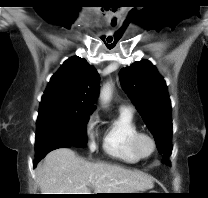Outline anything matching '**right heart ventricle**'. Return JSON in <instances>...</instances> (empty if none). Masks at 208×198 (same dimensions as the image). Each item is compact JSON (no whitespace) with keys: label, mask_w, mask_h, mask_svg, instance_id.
<instances>
[{"label":"right heart ventricle","mask_w":208,"mask_h":198,"mask_svg":"<svg viewBox=\"0 0 208 198\" xmlns=\"http://www.w3.org/2000/svg\"><path fill=\"white\" fill-rule=\"evenodd\" d=\"M138 132L139 128L132 113L120 110L104 131V152L113 159L125 163H137L141 158L135 152L132 141Z\"/></svg>","instance_id":"right-heart-ventricle-1"}]
</instances>
